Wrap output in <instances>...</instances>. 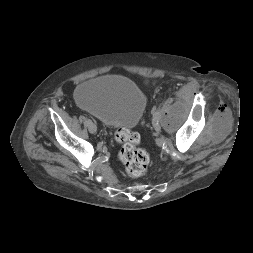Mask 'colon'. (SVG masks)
Returning <instances> with one entry per match:
<instances>
[{
    "label": "colon",
    "mask_w": 253,
    "mask_h": 253,
    "mask_svg": "<svg viewBox=\"0 0 253 253\" xmlns=\"http://www.w3.org/2000/svg\"><path fill=\"white\" fill-rule=\"evenodd\" d=\"M115 138L121 144L119 158L126 172L134 178L144 176L147 173L149 156L139 147V135L127 129H118Z\"/></svg>",
    "instance_id": "1"
}]
</instances>
